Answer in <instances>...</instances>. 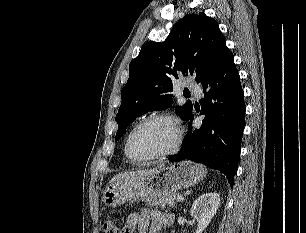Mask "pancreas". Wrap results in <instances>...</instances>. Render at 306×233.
<instances>
[{
	"instance_id": "1",
	"label": "pancreas",
	"mask_w": 306,
	"mask_h": 233,
	"mask_svg": "<svg viewBox=\"0 0 306 233\" xmlns=\"http://www.w3.org/2000/svg\"><path fill=\"white\" fill-rule=\"evenodd\" d=\"M179 196H180L179 194L174 193V194H170V195H165V196L149 199V200H147V203L150 206H155V207L160 206L162 209H164L165 206L173 208L175 206V204L177 202V198Z\"/></svg>"
}]
</instances>
